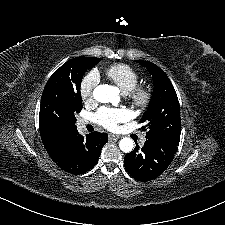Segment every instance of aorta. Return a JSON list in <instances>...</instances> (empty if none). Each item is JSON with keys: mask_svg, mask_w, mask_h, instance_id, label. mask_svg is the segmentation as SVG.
I'll return each mask as SVG.
<instances>
[{"mask_svg": "<svg viewBox=\"0 0 225 225\" xmlns=\"http://www.w3.org/2000/svg\"><path fill=\"white\" fill-rule=\"evenodd\" d=\"M118 89L116 87L101 84L97 86L93 91L94 99L101 103H115L119 100ZM134 143L130 138H122L119 142V147L121 151L129 153L133 150Z\"/></svg>", "mask_w": 225, "mask_h": 225, "instance_id": "obj_1", "label": "aorta"}]
</instances>
